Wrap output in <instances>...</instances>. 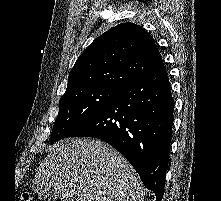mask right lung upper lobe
Wrapping results in <instances>:
<instances>
[{"mask_svg": "<svg viewBox=\"0 0 221 201\" xmlns=\"http://www.w3.org/2000/svg\"><path fill=\"white\" fill-rule=\"evenodd\" d=\"M162 64L154 39L122 23L97 37L74 64L65 93L91 87L119 90Z\"/></svg>", "mask_w": 221, "mask_h": 201, "instance_id": "right-lung-upper-lobe-1", "label": "right lung upper lobe"}]
</instances>
